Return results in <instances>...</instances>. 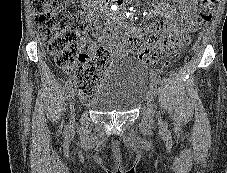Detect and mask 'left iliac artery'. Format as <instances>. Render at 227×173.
Returning a JSON list of instances; mask_svg holds the SVG:
<instances>
[{
	"label": "left iliac artery",
	"instance_id": "obj_1",
	"mask_svg": "<svg viewBox=\"0 0 227 173\" xmlns=\"http://www.w3.org/2000/svg\"><path fill=\"white\" fill-rule=\"evenodd\" d=\"M151 78L156 82V84L161 82V78L156 72H151Z\"/></svg>",
	"mask_w": 227,
	"mask_h": 173
}]
</instances>
